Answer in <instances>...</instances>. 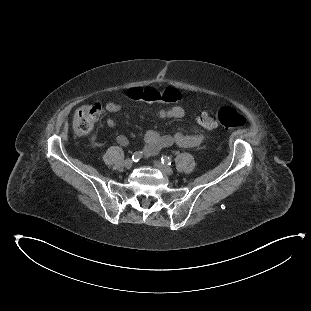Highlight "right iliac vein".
I'll use <instances>...</instances> for the list:
<instances>
[{
    "label": "right iliac vein",
    "mask_w": 311,
    "mask_h": 311,
    "mask_svg": "<svg viewBox=\"0 0 311 311\" xmlns=\"http://www.w3.org/2000/svg\"><path fill=\"white\" fill-rule=\"evenodd\" d=\"M124 166L125 168L130 169L133 166V161L131 159L125 160Z\"/></svg>",
    "instance_id": "63e3f726"
}]
</instances>
